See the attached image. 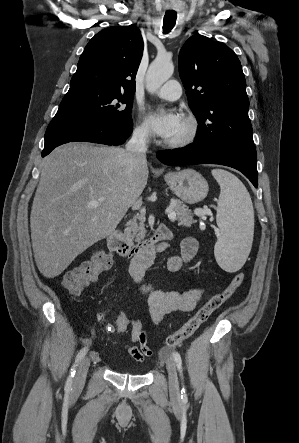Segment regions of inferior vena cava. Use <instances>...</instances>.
Returning a JSON list of instances; mask_svg holds the SVG:
<instances>
[{
  "label": "inferior vena cava",
  "instance_id": "obj_1",
  "mask_svg": "<svg viewBox=\"0 0 299 443\" xmlns=\"http://www.w3.org/2000/svg\"><path fill=\"white\" fill-rule=\"evenodd\" d=\"M148 132L135 130L131 139L126 144V150L130 152L138 162H146Z\"/></svg>",
  "mask_w": 299,
  "mask_h": 443
}]
</instances>
